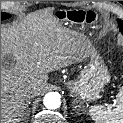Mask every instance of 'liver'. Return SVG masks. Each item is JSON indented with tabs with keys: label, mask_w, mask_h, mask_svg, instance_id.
I'll return each instance as SVG.
<instances>
[{
	"label": "liver",
	"mask_w": 123,
	"mask_h": 123,
	"mask_svg": "<svg viewBox=\"0 0 123 123\" xmlns=\"http://www.w3.org/2000/svg\"><path fill=\"white\" fill-rule=\"evenodd\" d=\"M83 44L50 11L1 27V123H20L26 115L24 90L35 96L48 75L79 60Z\"/></svg>",
	"instance_id": "obj_1"
}]
</instances>
